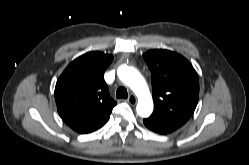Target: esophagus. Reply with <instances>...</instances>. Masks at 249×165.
Here are the masks:
<instances>
[{
    "instance_id": "1",
    "label": "esophagus",
    "mask_w": 249,
    "mask_h": 165,
    "mask_svg": "<svg viewBox=\"0 0 249 165\" xmlns=\"http://www.w3.org/2000/svg\"><path fill=\"white\" fill-rule=\"evenodd\" d=\"M127 101L130 105H135L137 103V97L134 94H131Z\"/></svg>"
}]
</instances>
